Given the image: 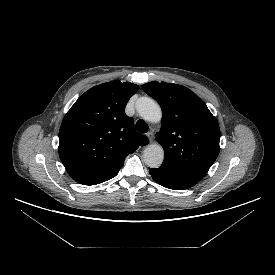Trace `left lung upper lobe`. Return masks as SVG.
<instances>
[{"label":"left lung upper lobe","instance_id":"1","mask_svg":"<svg viewBox=\"0 0 275 275\" xmlns=\"http://www.w3.org/2000/svg\"><path fill=\"white\" fill-rule=\"evenodd\" d=\"M143 90L162 107V127L156 134L165 153L162 165L200 180L220 151L216 118L184 86L153 81L144 84Z\"/></svg>","mask_w":275,"mask_h":275}]
</instances>
